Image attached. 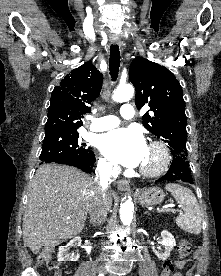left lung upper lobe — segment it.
Instances as JSON below:
<instances>
[{"mask_svg": "<svg viewBox=\"0 0 221 276\" xmlns=\"http://www.w3.org/2000/svg\"><path fill=\"white\" fill-rule=\"evenodd\" d=\"M129 80L136 88V107L148 105L152 112L143 115L144 127L168 144L173 157L187 158V118L178 80L166 67L143 57L132 61Z\"/></svg>", "mask_w": 221, "mask_h": 276, "instance_id": "left-lung-upper-lobe-1", "label": "left lung upper lobe"}]
</instances>
